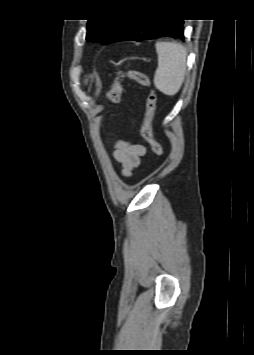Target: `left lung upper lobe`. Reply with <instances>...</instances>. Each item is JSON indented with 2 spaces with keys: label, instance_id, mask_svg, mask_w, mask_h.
Returning <instances> with one entry per match:
<instances>
[{
  "label": "left lung upper lobe",
  "instance_id": "obj_1",
  "mask_svg": "<svg viewBox=\"0 0 254 355\" xmlns=\"http://www.w3.org/2000/svg\"><path fill=\"white\" fill-rule=\"evenodd\" d=\"M129 20H88L86 40L104 44L113 43L120 37Z\"/></svg>",
  "mask_w": 254,
  "mask_h": 355
}]
</instances>
